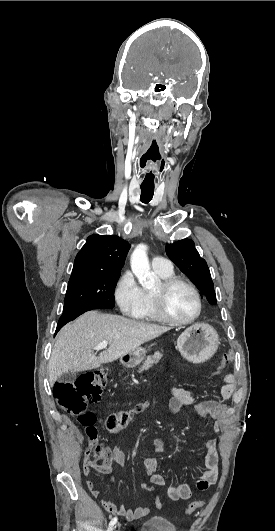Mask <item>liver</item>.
I'll return each instance as SVG.
<instances>
[{
    "label": "liver",
    "instance_id": "1",
    "mask_svg": "<svg viewBox=\"0 0 275 531\" xmlns=\"http://www.w3.org/2000/svg\"><path fill=\"white\" fill-rule=\"evenodd\" d=\"M166 331H170V327L88 311L59 331L48 363L49 383L53 387L65 373L91 371L101 367L102 363L117 361L125 353L135 351ZM102 341H108L109 349L96 357L93 349Z\"/></svg>",
    "mask_w": 275,
    "mask_h": 531
}]
</instances>
